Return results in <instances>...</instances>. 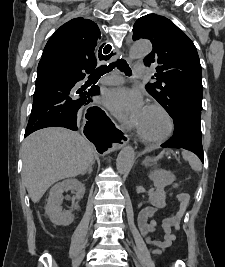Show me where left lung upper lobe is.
<instances>
[{"instance_id": "left-lung-upper-lobe-1", "label": "left lung upper lobe", "mask_w": 225, "mask_h": 267, "mask_svg": "<svg viewBox=\"0 0 225 267\" xmlns=\"http://www.w3.org/2000/svg\"><path fill=\"white\" fill-rule=\"evenodd\" d=\"M149 39L153 50L144 59L153 66L154 81L146 85L176 125L190 106L202 109V72L193 42L169 19L156 14L139 18L133 27V39Z\"/></svg>"}]
</instances>
